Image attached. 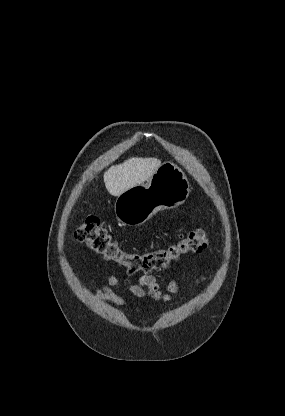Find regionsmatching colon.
<instances>
[{
    "label": "colon",
    "mask_w": 285,
    "mask_h": 416,
    "mask_svg": "<svg viewBox=\"0 0 285 416\" xmlns=\"http://www.w3.org/2000/svg\"><path fill=\"white\" fill-rule=\"evenodd\" d=\"M75 237L105 261L125 268L131 275L164 270L180 257L199 253L208 245L205 232L197 229L184 235L172 245L144 253L128 252L120 247L101 226L98 218L93 216L87 217L77 228Z\"/></svg>",
    "instance_id": "1"
}]
</instances>
